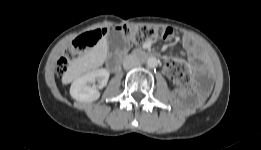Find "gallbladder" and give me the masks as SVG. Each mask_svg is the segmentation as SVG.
Instances as JSON below:
<instances>
[{"label": "gallbladder", "mask_w": 261, "mask_h": 150, "mask_svg": "<svg viewBox=\"0 0 261 150\" xmlns=\"http://www.w3.org/2000/svg\"><path fill=\"white\" fill-rule=\"evenodd\" d=\"M108 49L111 53H119L127 47V43L120 31L111 30L107 35Z\"/></svg>", "instance_id": "gallbladder-1"}]
</instances>
